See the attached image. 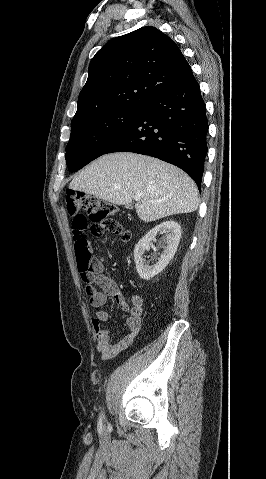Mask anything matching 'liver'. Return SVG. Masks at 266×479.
Returning <instances> with one entry per match:
<instances>
[{"mask_svg":"<svg viewBox=\"0 0 266 479\" xmlns=\"http://www.w3.org/2000/svg\"><path fill=\"white\" fill-rule=\"evenodd\" d=\"M117 205L132 202L138 217L151 222L199 206L198 189L181 169L159 159L130 152L103 155L85 167L69 185Z\"/></svg>","mask_w":266,"mask_h":479,"instance_id":"liver-1","label":"liver"}]
</instances>
